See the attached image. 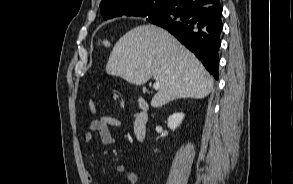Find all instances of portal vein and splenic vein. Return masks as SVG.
Instances as JSON below:
<instances>
[{"instance_id": "portal-vein-and-splenic-vein-1", "label": "portal vein and splenic vein", "mask_w": 293, "mask_h": 184, "mask_svg": "<svg viewBox=\"0 0 293 184\" xmlns=\"http://www.w3.org/2000/svg\"><path fill=\"white\" fill-rule=\"evenodd\" d=\"M159 88H160V83L156 81V82L153 84V89H154V90H157V89H159Z\"/></svg>"}]
</instances>
